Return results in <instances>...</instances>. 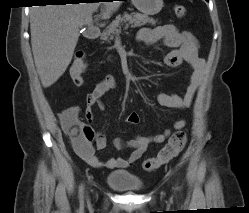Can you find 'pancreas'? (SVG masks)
Listing matches in <instances>:
<instances>
[{"instance_id":"1","label":"pancreas","mask_w":249,"mask_h":213,"mask_svg":"<svg viewBox=\"0 0 249 213\" xmlns=\"http://www.w3.org/2000/svg\"><path fill=\"white\" fill-rule=\"evenodd\" d=\"M147 23L155 25L156 21L153 18H149L145 14L138 12H132L128 14L125 12L123 15H118L114 21L101 33L100 38L103 41L113 40L114 36L121 33V26L126 24L127 28L131 25L132 28L141 27Z\"/></svg>"}]
</instances>
